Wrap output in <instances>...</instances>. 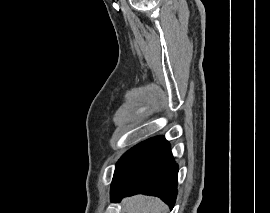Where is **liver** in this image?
<instances>
[{"instance_id":"6515ba94","label":"liver","mask_w":270,"mask_h":213,"mask_svg":"<svg viewBox=\"0 0 270 213\" xmlns=\"http://www.w3.org/2000/svg\"><path fill=\"white\" fill-rule=\"evenodd\" d=\"M125 213H163L164 204L155 197L134 196L123 201Z\"/></svg>"}]
</instances>
